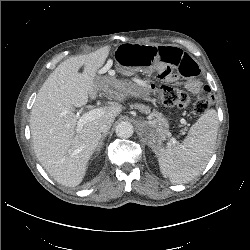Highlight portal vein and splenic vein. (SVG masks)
<instances>
[{"label":"portal vein and splenic vein","mask_w":250,"mask_h":250,"mask_svg":"<svg viewBox=\"0 0 250 250\" xmlns=\"http://www.w3.org/2000/svg\"><path fill=\"white\" fill-rule=\"evenodd\" d=\"M102 114H103V110L98 108V109H92L86 112L85 114H83L82 116H80L76 123L77 131H80L86 123H88L89 121L95 120L96 118L100 117ZM171 142L173 144L177 143V141L174 139H172Z\"/></svg>","instance_id":"18ae733b"}]
</instances>
